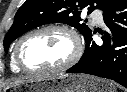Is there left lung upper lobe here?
<instances>
[{"mask_svg": "<svg viewBox=\"0 0 127 92\" xmlns=\"http://www.w3.org/2000/svg\"><path fill=\"white\" fill-rule=\"evenodd\" d=\"M117 0H26L17 11L14 23L4 39V49L25 32L47 23H66L77 28L87 37L92 30L80 23L83 8L90 5L88 13L94 8L105 10ZM94 4H96L94 6Z\"/></svg>", "mask_w": 127, "mask_h": 92, "instance_id": "obj_1", "label": "left lung upper lobe"}]
</instances>
